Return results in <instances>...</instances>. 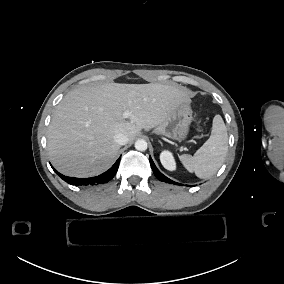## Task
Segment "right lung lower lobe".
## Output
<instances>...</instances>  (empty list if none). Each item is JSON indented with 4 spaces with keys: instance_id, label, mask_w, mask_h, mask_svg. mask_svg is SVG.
<instances>
[{
    "instance_id": "obj_1",
    "label": "right lung lower lobe",
    "mask_w": 284,
    "mask_h": 284,
    "mask_svg": "<svg viewBox=\"0 0 284 284\" xmlns=\"http://www.w3.org/2000/svg\"><path fill=\"white\" fill-rule=\"evenodd\" d=\"M121 158V157H120ZM120 158L115 162V164L106 172L103 174L92 177V178H72V177H67L62 174H60L58 171H56L53 167V170L67 183L71 185H97V184H104L110 181L116 174L120 162Z\"/></svg>"
}]
</instances>
